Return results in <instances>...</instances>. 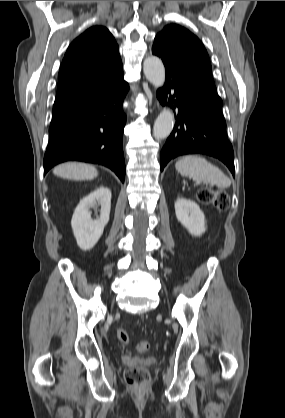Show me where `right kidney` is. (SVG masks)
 <instances>
[{"label": "right kidney", "instance_id": "ca27d5eb", "mask_svg": "<svg viewBox=\"0 0 285 418\" xmlns=\"http://www.w3.org/2000/svg\"><path fill=\"white\" fill-rule=\"evenodd\" d=\"M96 205L101 206L100 217L92 219L89 210ZM110 210L111 191L106 187L97 188L79 202L71 226L80 249L87 251L95 246L109 221Z\"/></svg>", "mask_w": 285, "mask_h": 418}]
</instances>
